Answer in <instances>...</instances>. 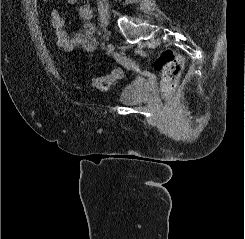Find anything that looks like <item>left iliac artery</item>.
Wrapping results in <instances>:
<instances>
[{
  "instance_id": "obj_1",
  "label": "left iliac artery",
  "mask_w": 245,
  "mask_h": 239,
  "mask_svg": "<svg viewBox=\"0 0 245 239\" xmlns=\"http://www.w3.org/2000/svg\"><path fill=\"white\" fill-rule=\"evenodd\" d=\"M101 48H102V49L105 48V43H104V42L101 43Z\"/></svg>"
}]
</instances>
